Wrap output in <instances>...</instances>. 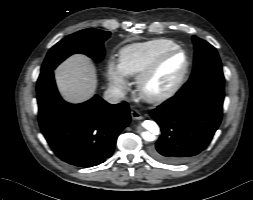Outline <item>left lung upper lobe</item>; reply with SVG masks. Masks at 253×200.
<instances>
[{
    "label": "left lung upper lobe",
    "mask_w": 253,
    "mask_h": 200,
    "mask_svg": "<svg viewBox=\"0 0 253 200\" xmlns=\"http://www.w3.org/2000/svg\"><path fill=\"white\" fill-rule=\"evenodd\" d=\"M192 39L195 48L194 67L189 80L180 89L184 93L205 81L224 82L222 65L216 49L196 36Z\"/></svg>",
    "instance_id": "1"
}]
</instances>
